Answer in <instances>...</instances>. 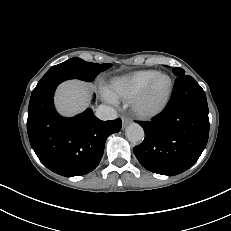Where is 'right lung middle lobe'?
<instances>
[{
	"label": "right lung middle lobe",
	"mask_w": 231,
	"mask_h": 231,
	"mask_svg": "<svg viewBox=\"0 0 231 231\" xmlns=\"http://www.w3.org/2000/svg\"><path fill=\"white\" fill-rule=\"evenodd\" d=\"M112 64H96L86 62L80 58H71L61 64L51 67L38 82L36 88H40L57 79L77 78L91 82L101 72L110 68Z\"/></svg>",
	"instance_id": "right-lung-middle-lobe-1"
}]
</instances>
